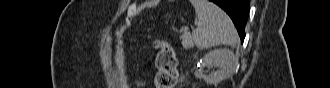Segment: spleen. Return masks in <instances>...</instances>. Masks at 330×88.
<instances>
[{
    "label": "spleen",
    "mask_w": 330,
    "mask_h": 88,
    "mask_svg": "<svg viewBox=\"0 0 330 88\" xmlns=\"http://www.w3.org/2000/svg\"><path fill=\"white\" fill-rule=\"evenodd\" d=\"M191 3L196 12V29L192 32V38L199 49L236 45L237 31L229 16L220 7L208 0H191Z\"/></svg>",
    "instance_id": "1"
}]
</instances>
